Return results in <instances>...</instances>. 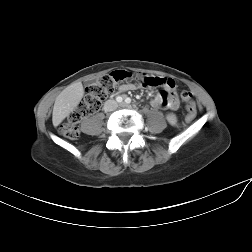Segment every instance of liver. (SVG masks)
Returning a JSON list of instances; mask_svg holds the SVG:
<instances>
[{
	"instance_id": "1",
	"label": "liver",
	"mask_w": 252,
	"mask_h": 252,
	"mask_svg": "<svg viewBox=\"0 0 252 252\" xmlns=\"http://www.w3.org/2000/svg\"><path fill=\"white\" fill-rule=\"evenodd\" d=\"M84 96V89L81 82L73 83L66 87L56 98L52 122L58 126L77 107Z\"/></svg>"
}]
</instances>
